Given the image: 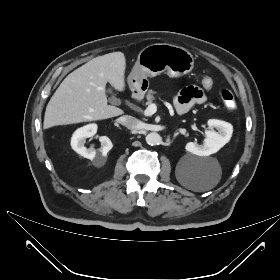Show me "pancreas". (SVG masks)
Returning a JSON list of instances; mask_svg holds the SVG:
<instances>
[{"label": "pancreas", "mask_w": 280, "mask_h": 280, "mask_svg": "<svg viewBox=\"0 0 280 280\" xmlns=\"http://www.w3.org/2000/svg\"><path fill=\"white\" fill-rule=\"evenodd\" d=\"M154 94H155V92L153 90L148 91V93L146 95L148 105L152 104V102L155 100Z\"/></svg>", "instance_id": "obj_1"}]
</instances>
